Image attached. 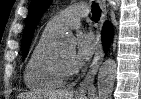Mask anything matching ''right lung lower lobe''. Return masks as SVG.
<instances>
[{
  "label": "right lung lower lobe",
  "mask_w": 141,
  "mask_h": 99,
  "mask_svg": "<svg viewBox=\"0 0 141 99\" xmlns=\"http://www.w3.org/2000/svg\"><path fill=\"white\" fill-rule=\"evenodd\" d=\"M112 37H113L112 25L110 22H106L102 31V41L105 49H107L108 46L110 45Z\"/></svg>",
  "instance_id": "right-lung-lower-lobe-1"
}]
</instances>
